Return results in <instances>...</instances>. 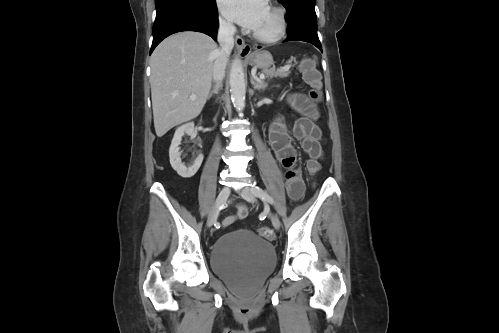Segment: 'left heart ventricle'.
I'll return each instance as SVG.
<instances>
[{"instance_id":"1","label":"left heart ventricle","mask_w":499,"mask_h":333,"mask_svg":"<svg viewBox=\"0 0 499 333\" xmlns=\"http://www.w3.org/2000/svg\"><path fill=\"white\" fill-rule=\"evenodd\" d=\"M277 26L278 21L276 16L268 9L254 31L264 35H271L276 31Z\"/></svg>"}]
</instances>
